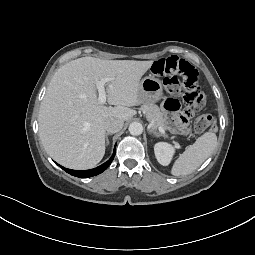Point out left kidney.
I'll use <instances>...</instances> for the list:
<instances>
[{
  "instance_id": "left-kidney-1",
  "label": "left kidney",
  "mask_w": 255,
  "mask_h": 255,
  "mask_svg": "<svg viewBox=\"0 0 255 255\" xmlns=\"http://www.w3.org/2000/svg\"><path fill=\"white\" fill-rule=\"evenodd\" d=\"M154 153L157 161L161 165L167 166L172 160L175 148L166 142H158L154 146Z\"/></svg>"
}]
</instances>
